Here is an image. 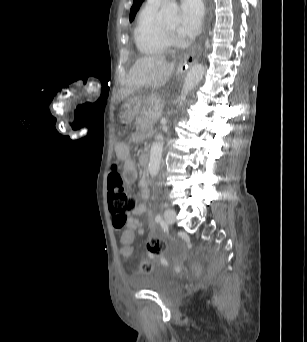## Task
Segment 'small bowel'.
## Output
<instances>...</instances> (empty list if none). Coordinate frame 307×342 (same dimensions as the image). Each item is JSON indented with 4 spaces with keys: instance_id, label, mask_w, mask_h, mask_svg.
Masks as SVG:
<instances>
[{
    "instance_id": "c3829d8e",
    "label": "small bowel",
    "mask_w": 307,
    "mask_h": 342,
    "mask_svg": "<svg viewBox=\"0 0 307 342\" xmlns=\"http://www.w3.org/2000/svg\"><path fill=\"white\" fill-rule=\"evenodd\" d=\"M121 155L125 160V166H124V170H123L124 179L129 185H132L135 183V181L137 179L136 166L130 160L128 150L123 149ZM141 186H142L141 196H142L144 202L136 205V207L132 211L130 218H129V221H128V225H135V232H145L142 223L138 220V216L144 214L147 210V204L145 201L149 197V190L147 187V177L146 176L143 177ZM120 240H125V239H120Z\"/></svg>"
}]
</instances>
